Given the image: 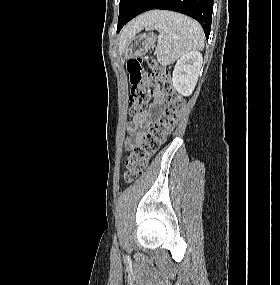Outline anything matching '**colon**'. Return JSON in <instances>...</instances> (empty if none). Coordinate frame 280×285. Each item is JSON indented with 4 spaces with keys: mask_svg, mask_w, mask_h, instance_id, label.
<instances>
[{
    "mask_svg": "<svg viewBox=\"0 0 280 285\" xmlns=\"http://www.w3.org/2000/svg\"><path fill=\"white\" fill-rule=\"evenodd\" d=\"M147 63L150 72L143 65ZM127 69L131 93L129 113L136 114L146 107L152 97L153 84L159 82L166 94V108L162 116L139 140H137L125 162L124 179L133 182L144 171L150 156L171 135L184 110L183 97L177 93L171 83L170 73L152 59H131Z\"/></svg>",
    "mask_w": 280,
    "mask_h": 285,
    "instance_id": "5ec220e1",
    "label": "colon"
}]
</instances>
